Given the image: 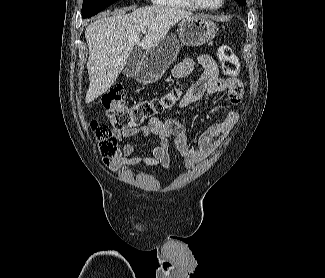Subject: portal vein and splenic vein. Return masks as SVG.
<instances>
[{
	"label": "portal vein and splenic vein",
	"mask_w": 325,
	"mask_h": 278,
	"mask_svg": "<svg viewBox=\"0 0 325 278\" xmlns=\"http://www.w3.org/2000/svg\"><path fill=\"white\" fill-rule=\"evenodd\" d=\"M142 33H146V30L144 29V30H142Z\"/></svg>",
	"instance_id": "18ae733b"
}]
</instances>
